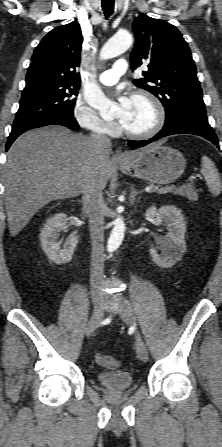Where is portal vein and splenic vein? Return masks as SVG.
<instances>
[{"label":"portal vein and splenic vein","instance_id":"portal-vein-and-splenic-vein-1","mask_svg":"<svg viewBox=\"0 0 222 447\" xmlns=\"http://www.w3.org/2000/svg\"><path fill=\"white\" fill-rule=\"evenodd\" d=\"M175 188V185L174 184H172V185H167V186H165V187H162V188H160V189H158L157 187H156V189H157V191L159 192V193H166V192H168V191H171L172 189H174ZM152 188L151 187H147L146 188V191H150Z\"/></svg>","mask_w":222,"mask_h":447}]
</instances>
